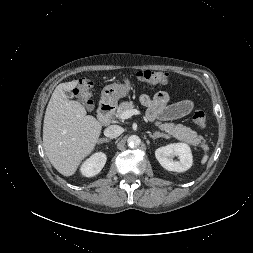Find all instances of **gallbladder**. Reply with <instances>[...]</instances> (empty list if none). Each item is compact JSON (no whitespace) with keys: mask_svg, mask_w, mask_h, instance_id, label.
Segmentation results:
<instances>
[{"mask_svg":"<svg viewBox=\"0 0 253 253\" xmlns=\"http://www.w3.org/2000/svg\"><path fill=\"white\" fill-rule=\"evenodd\" d=\"M68 98H73L72 92L68 91L65 93Z\"/></svg>","mask_w":253,"mask_h":253,"instance_id":"obj_1","label":"gallbladder"}]
</instances>
